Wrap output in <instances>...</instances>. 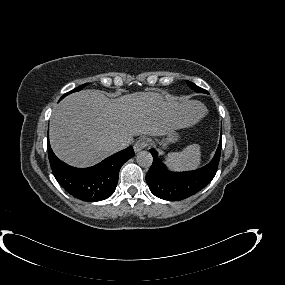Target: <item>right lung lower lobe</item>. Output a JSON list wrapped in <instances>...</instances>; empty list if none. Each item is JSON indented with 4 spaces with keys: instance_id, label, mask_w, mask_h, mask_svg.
<instances>
[{
    "instance_id": "98d812e1",
    "label": "right lung lower lobe",
    "mask_w": 285,
    "mask_h": 285,
    "mask_svg": "<svg viewBox=\"0 0 285 285\" xmlns=\"http://www.w3.org/2000/svg\"><path fill=\"white\" fill-rule=\"evenodd\" d=\"M48 157L58 183L77 199L96 202L107 199L115 191L121 166L134 156L132 147L122 150L89 168L71 167L53 153L49 138Z\"/></svg>"
}]
</instances>
